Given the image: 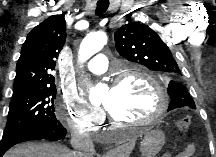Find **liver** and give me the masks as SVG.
<instances>
[{"instance_id": "6515ba94", "label": "liver", "mask_w": 216, "mask_h": 157, "mask_svg": "<svg viewBox=\"0 0 216 157\" xmlns=\"http://www.w3.org/2000/svg\"><path fill=\"white\" fill-rule=\"evenodd\" d=\"M135 146V139H130L124 144L106 154V157L122 156L130 154ZM4 157H74L73 151L66 146L57 143L28 142L11 148Z\"/></svg>"}]
</instances>
